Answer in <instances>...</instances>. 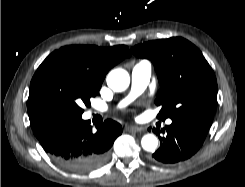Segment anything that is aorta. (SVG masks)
Wrapping results in <instances>:
<instances>
[{
    "instance_id": "obj_1",
    "label": "aorta",
    "mask_w": 245,
    "mask_h": 187,
    "mask_svg": "<svg viewBox=\"0 0 245 187\" xmlns=\"http://www.w3.org/2000/svg\"><path fill=\"white\" fill-rule=\"evenodd\" d=\"M107 85L115 92H121L128 88L130 77L124 69H114L107 76ZM142 148L149 152H154L158 145V140L153 134H146L141 140Z\"/></svg>"
}]
</instances>
